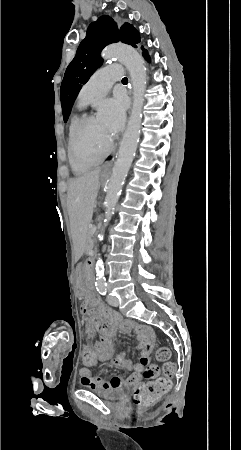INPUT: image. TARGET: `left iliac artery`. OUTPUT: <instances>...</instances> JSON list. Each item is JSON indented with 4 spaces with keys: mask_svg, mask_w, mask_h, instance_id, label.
Returning <instances> with one entry per match:
<instances>
[{
    "mask_svg": "<svg viewBox=\"0 0 241 450\" xmlns=\"http://www.w3.org/2000/svg\"><path fill=\"white\" fill-rule=\"evenodd\" d=\"M97 290H98V292L101 295H106V293H107V286L106 285H100V286H98Z\"/></svg>",
    "mask_w": 241,
    "mask_h": 450,
    "instance_id": "obj_1",
    "label": "left iliac artery"
}]
</instances>
